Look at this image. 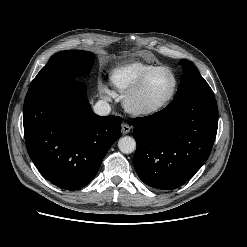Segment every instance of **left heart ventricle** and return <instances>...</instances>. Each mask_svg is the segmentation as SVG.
Listing matches in <instances>:
<instances>
[{
  "instance_id": "left-heart-ventricle-1",
  "label": "left heart ventricle",
  "mask_w": 247,
  "mask_h": 247,
  "mask_svg": "<svg viewBox=\"0 0 247 247\" xmlns=\"http://www.w3.org/2000/svg\"><path fill=\"white\" fill-rule=\"evenodd\" d=\"M172 87V76L164 70L156 71L145 81L137 100L143 105L158 104L170 94Z\"/></svg>"
}]
</instances>
